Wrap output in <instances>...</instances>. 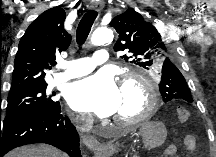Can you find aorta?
<instances>
[{
	"instance_id": "aorta-1",
	"label": "aorta",
	"mask_w": 216,
	"mask_h": 157,
	"mask_svg": "<svg viewBox=\"0 0 216 157\" xmlns=\"http://www.w3.org/2000/svg\"><path fill=\"white\" fill-rule=\"evenodd\" d=\"M113 39V32L110 28L107 27H100L96 29L91 37V42L94 45L100 46L104 45L108 42H111ZM112 152H108L105 156H110Z\"/></svg>"
}]
</instances>
